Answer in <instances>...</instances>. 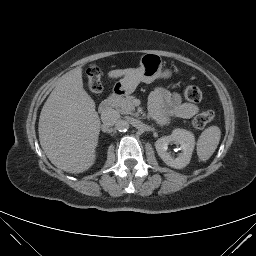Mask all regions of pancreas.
<instances>
[{"instance_id":"obj_1","label":"pancreas","mask_w":256,"mask_h":256,"mask_svg":"<svg viewBox=\"0 0 256 256\" xmlns=\"http://www.w3.org/2000/svg\"><path fill=\"white\" fill-rule=\"evenodd\" d=\"M134 96L119 98L113 103V107L121 114L134 115L135 106L133 104Z\"/></svg>"}]
</instances>
